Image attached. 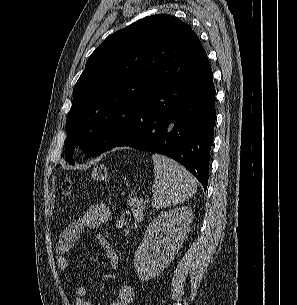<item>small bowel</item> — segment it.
<instances>
[{"label": "small bowel", "mask_w": 297, "mask_h": 305, "mask_svg": "<svg viewBox=\"0 0 297 305\" xmlns=\"http://www.w3.org/2000/svg\"><path fill=\"white\" fill-rule=\"evenodd\" d=\"M111 217V209L104 203H97L91 205L82 217L66 225L59 233L56 244L58 268L60 270L67 269V254L80 238L84 229L99 230ZM96 240L105 252L108 266L116 269L118 266V256L109 239L101 234H97ZM75 293L77 305H95L92 300L86 298L87 288L84 285H78ZM134 298L135 291L133 286L130 284H122L118 289L117 299L112 301L110 305H131Z\"/></svg>", "instance_id": "obj_1"}]
</instances>
